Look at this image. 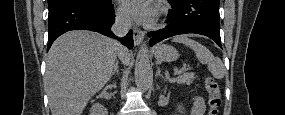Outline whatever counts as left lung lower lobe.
I'll return each mask as SVG.
<instances>
[{
  "label": "left lung lower lobe",
  "mask_w": 285,
  "mask_h": 115,
  "mask_svg": "<svg viewBox=\"0 0 285 115\" xmlns=\"http://www.w3.org/2000/svg\"><path fill=\"white\" fill-rule=\"evenodd\" d=\"M172 9L164 29L149 32L150 45L171 36L196 33L208 36L221 47L219 0H168Z\"/></svg>",
  "instance_id": "obj_1"
}]
</instances>
